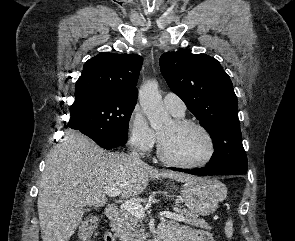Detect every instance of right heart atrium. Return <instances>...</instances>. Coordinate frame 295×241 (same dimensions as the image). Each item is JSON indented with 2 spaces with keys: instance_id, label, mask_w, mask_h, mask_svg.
Masks as SVG:
<instances>
[{
  "instance_id": "right-heart-atrium-1",
  "label": "right heart atrium",
  "mask_w": 295,
  "mask_h": 241,
  "mask_svg": "<svg viewBox=\"0 0 295 241\" xmlns=\"http://www.w3.org/2000/svg\"><path fill=\"white\" fill-rule=\"evenodd\" d=\"M127 130L130 146L139 153H149L155 146L157 135L139 108H135L130 114Z\"/></svg>"
}]
</instances>
